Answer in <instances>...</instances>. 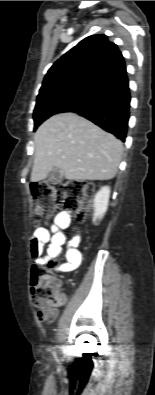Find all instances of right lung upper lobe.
Here are the masks:
<instances>
[{"label": "right lung upper lobe", "instance_id": "right-lung-upper-lobe-1", "mask_svg": "<svg viewBox=\"0 0 155 395\" xmlns=\"http://www.w3.org/2000/svg\"><path fill=\"white\" fill-rule=\"evenodd\" d=\"M126 65L118 46L104 34L92 35L58 59L47 72L40 90L69 81L103 84L125 72Z\"/></svg>", "mask_w": 155, "mask_h": 395}]
</instances>
